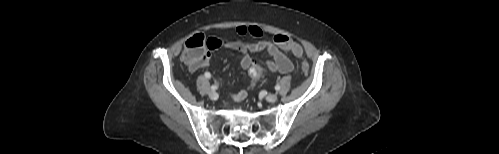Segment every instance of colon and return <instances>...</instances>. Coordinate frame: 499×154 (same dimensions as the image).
<instances>
[{"label":"colon","instance_id":"1","mask_svg":"<svg viewBox=\"0 0 499 154\" xmlns=\"http://www.w3.org/2000/svg\"><path fill=\"white\" fill-rule=\"evenodd\" d=\"M274 42L277 46L281 47L284 50L291 52L297 58L301 60V71L304 74H307L309 70V64L304 58V51L302 46L285 34H277L274 36ZM209 43L203 34H195L190 37L184 46L183 51V61L190 67L196 68L199 67L210 55L208 52ZM262 73L261 65L255 63L251 66L249 74L251 77L252 84L260 77Z\"/></svg>","mask_w":499,"mask_h":154}]
</instances>
